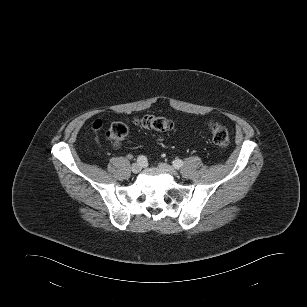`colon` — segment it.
Masks as SVG:
<instances>
[{"label": "colon", "mask_w": 307, "mask_h": 307, "mask_svg": "<svg viewBox=\"0 0 307 307\" xmlns=\"http://www.w3.org/2000/svg\"><path fill=\"white\" fill-rule=\"evenodd\" d=\"M135 123L143 128L158 132H168L174 128V123L172 120L150 114L136 119ZM100 125V121H96L94 123L95 128H99ZM209 131L212 137V141L216 146L222 148L228 146L230 137L228 130L224 126L211 122L209 123ZM127 133L128 127L125 123L115 122L106 132V138L111 145L119 146L127 136Z\"/></svg>", "instance_id": "5ec220e1"}]
</instances>
